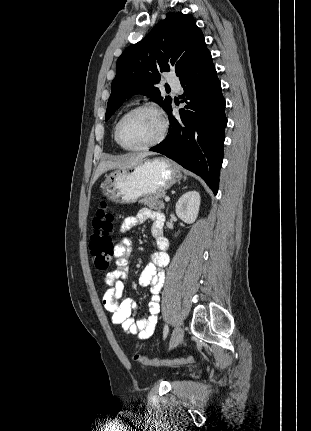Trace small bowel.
<instances>
[{
    "mask_svg": "<svg viewBox=\"0 0 311 431\" xmlns=\"http://www.w3.org/2000/svg\"><path fill=\"white\" fill-rule=\"evenodd\" d=\"M148 220L152 221L151 233L157 246V250L150 254L149 262L139 278L141 286H150L148 315L143 319L135 320L136 303L129 298L122 299L124 280L129 276L128 259L131 241L127 237L121 238L114 248L117 268L106 275V290L103 296L104 307L111 313L112 322L120 325L125 333L137 335L140 339L149 338L153 334L160 312L159 293L165 278L162 269L169 263L167 253L169 242L163 235L165 218L161 212L144 208L136 215L127 217L120 227V233H130L135 226Z\"/></svg>",
    "mask_w": 311,
    "mask_h": 431,
    "instance_id": "c3829d8e",
    "label": "small bowel"
}]
</instances>
